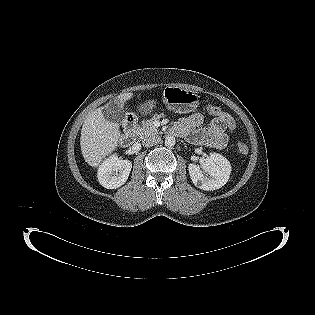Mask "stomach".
I'll list each match as a JSON object with an SVG mask.
<instances>
[{
	"label": "stomach",
	"mask_w": 315,
	"mask_h": 315,
	"mask_svg": "<svg viewBox=\"0 0 315 315\" xmlns=\"http://www.w3.org/2000/svg\"><path fill=\"white\" fill-rule=\"evenodd\" d=\"M163 102L173 112L190 113L198 107L195 92L177 86H167L163 91Z\"/></svg>",
	"instance_id": "1"
}]
</instances>
